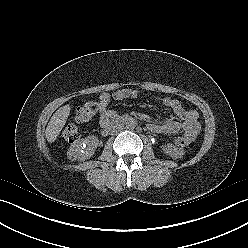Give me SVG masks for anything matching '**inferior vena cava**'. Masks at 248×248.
<instances>
[{
    "mask_svg": "<svg viewBox=\"0 0 248 248\" xmlns=\"http://www.w3.org/2000/svg\"><path fill=\"white\" fill-rule=\"evenodd\" d=\"M122 128L121 127H118L115 129V131H120Z\"/></svg>",
    "mask_w": 248,
    "mask_h": 248,
    "instance_id": "inferior-vena-cava-1",
    "label": "inferior vena cava"
}]
</instances>
